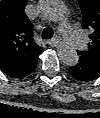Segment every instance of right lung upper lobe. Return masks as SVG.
I'll use <instances>...</instances> for the list:
<instances>
[{
	"instance_id": "cb5924a9",
	"label": "right lung upper lobe",
	"mask_w": 100,
	"mask_h": 118,
	"mask_svg": "<svg viewBox=\"0 0 100 118\" xmlns=\"http://www.w3.org/2000/svg\"><path fill=\"white\" fill-rule=\"evenodd\" d=\"M26 2L0 1V68L14 78L29 75L42 52L33 42V26L24 12Z\"/></svg>"
}]
</instances>
